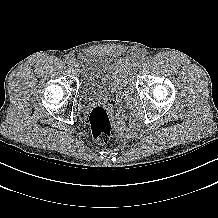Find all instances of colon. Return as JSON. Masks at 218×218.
I'll list each match as a JSON object with an SVG mask.
<instances>
[{
	"label": "colon",
	"mask_w": 218,
	"mask_h": 218,
	"mask_svg": "<svg viewBox=\"0 0 218 218\" xmlns=\"http://www.w3.org/2000/svg\"><path fill=\"white\" fill-rule=\"evenodd\" d=\"M89 123L95 142L106 144L112 133V122L107 109L103 106L94 107L89 115Z\"/></svg>",
	"instance_id": "5ec220e1"
}]
</instances>
